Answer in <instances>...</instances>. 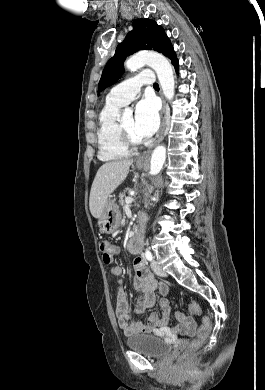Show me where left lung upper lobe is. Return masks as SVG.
Returning a JSON list of instances; mask_svg holds the SVG:
<instances>
[{
    "instance_id": "left-lung-upper-lobe-1",
    "label": "left lung upper lobe",
    "mask_w": 265,
    "mask_h": 390,
    "mask_svg": "<svg viewBox=\"0 0 265 390\" xmlns=\"http://www.w3.org/2000/svg\"><path fill=\"white\" fill-rule=\"evenodd\" d=\"M140 50H154L171 60L176 56L170 40L161 26L153 20L136 19L133 22V30L117 46L115 54L106 63L98 84V93L114 84L121 77L126 56Z\"/></svg>"
}]
</instances>
